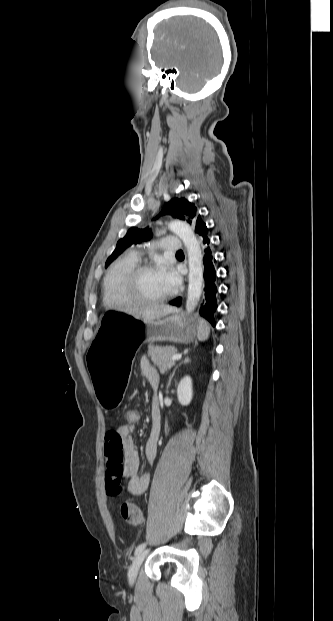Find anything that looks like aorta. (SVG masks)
<instances>
[{
    "label": "aorta",
    "mask_w": 333,
    "mask_h": 621,
    "mask_svg": "<svg viewBox=\"0 0 333 621\" xmlns=\"http://www.w3.org/2000/svg\"><path fill=\"white\" fill-rule=\"evenodd\" d=\"M169 228L184 243L188 255V294L186 310L191 313L197 307L203 289V255L201 246L192 230L185 222L176 220L169 224Z\"/></svg>",
    "instance_id": "aorta-1"
}]
</instances>
